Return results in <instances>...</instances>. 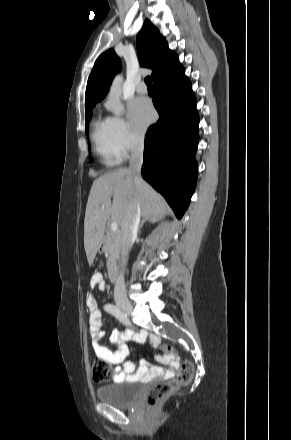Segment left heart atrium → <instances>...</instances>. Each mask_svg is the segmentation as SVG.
I'll return each instance as SVG.
<instances>
[{
  "label": "left heart atrium",
  "instance_id": "1",
  "mask_svg": "<svg viewBox=\"0 0 291 440\" xmlns=\"http://www.w3.org/2000/svg\"><path fill=\"white\" fill-rule=\"evenodd\" d=\"M129 115L134 128L141 132L153 121L155 112L147 99L137 98L130 103Z\"/></svg>",
  "mask_w": 291,
  "mask_h": 440
}]
</instances>
